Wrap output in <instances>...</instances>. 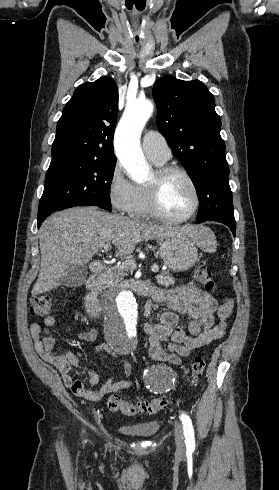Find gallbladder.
<instances>
[{
	"label": "gallbladder",
	"mask_w": 279,
	"mask_h": 490,
	"mask_svg": "<svg viewBox=\"0 0 279 490\" xmlns=\"http://www.w3.org/2000/svg\"><path fill=\"white\" fill-rule=\"evenodd\" d=\"M88 274L87 266H70L66 276L63 278V284L68 288H80L86 282Z\"/></svg>",
	"instance_id": "obj_1"
}]
</instances>
